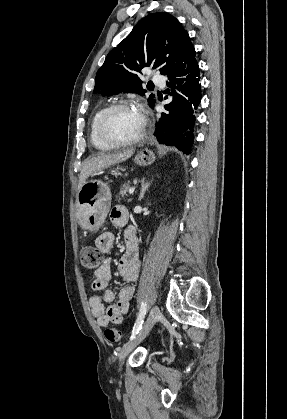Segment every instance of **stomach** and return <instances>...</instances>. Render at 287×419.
<instances>
[{
	"instance_id": "0dacf381",
	"label": "stomach",
	"mask_w": 287,
	"mask_h": 419,
	"mask_svg": "<svg viewBox=\"0 0 287 419\" xmlns=\"http://www.w3.org/2000/svg\"><path fill=\"white\" fill-rule=\"evenodd\" d=\"M163 148L159 149V153ZM153 151L145 148L139 151L134 162L139 166H148L155 161ZM111 204V190L107 183L101 180L86 181L77 194L76 216L81 226L91 232H96L104 223Z\"/></svg>"
}]
</instances>
